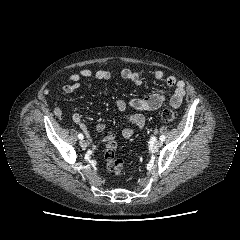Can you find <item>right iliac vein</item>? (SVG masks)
<instances>
[{
    "label": "right iliac vein",
    "mask_w": 240,
    "mask_h": 240,
    "mask_svg": "<svg viewBox=\"0 0 240 240\" xmlns=\"http://www.w3.org/2000/svg\"><path fill=\"white\" fill-rule=\"evenodd\" d=\"M79 144H80L81 147L86 148L89 143H88L86 140H83V139H82V140L79 142Z\"/></svg>",
    "instance_id": "obj_1"
}]
</instances>
